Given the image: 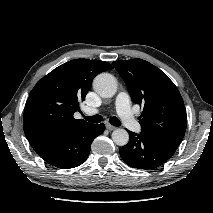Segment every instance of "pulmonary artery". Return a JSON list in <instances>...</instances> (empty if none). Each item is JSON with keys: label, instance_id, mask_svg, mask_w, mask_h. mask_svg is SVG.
Returning <instances> with one entry per match:
<instances>
[{"label": "pulmonary artery", "instance_id": "e3ab8cb5", "mask_svg": "<svg viewBox=\"0 0 213 213\" xmlns=\"http://www.w3.org/2000/svg\"><path fill=\"white\" fill-rule=\"evenodd\" d=\"M116 110L121 118L123 124L131 131L139 132L141 129L140 124L134 118L130 109L129 96L126 92H120L116 98ZM99 112L98 109L86 108L85 113L88 115H94Z\"/></svg>", "mask_w": 213, "mask_h": 213}]
</instances>
